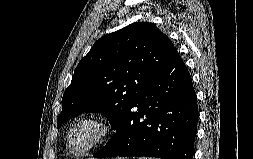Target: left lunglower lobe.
Here are the masks:
<instances>
[{
    "label": "left lung lower lobe",
    "mask_w": 253,
    "mask_h": 159,
    "mask_svg": "<svg viewBox=\"0 0 253 159\" xmlns=\"http://www.w3.org/2000/svg\"><path fill=\"white\" fill-rule=\"evenodd\" d=\"M198 114L191 76L177 53L146 86L115 136L94 157L193 159Z\"/></svg>",
    "instance_id": "0a47b994"
}]
</instances>
